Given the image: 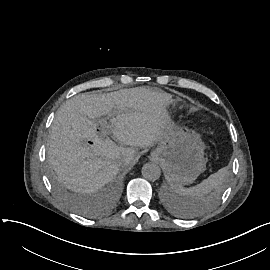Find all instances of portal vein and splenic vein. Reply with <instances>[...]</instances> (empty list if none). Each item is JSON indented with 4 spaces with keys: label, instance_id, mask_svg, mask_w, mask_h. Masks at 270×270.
<instances>
[{
    "label": "portal vein and splenic vein",
    "instance_id": "1",
    "mask_svg": "<svg viewBox=\"0 0 270 270\" xmlns=\"http://www.w3.org/2000/svg\"><path fill=\"white\" fill-rule=\"evenodd\" d=\"M98 122H99L101 128L103 129L101 131V133H100L99 140L100 141H104L105 140V137L107 136V134L113 133V129H111V126H110V128H108V131L104 129L106 127V125H107L106 124L107 121L105 119H100Z\"/></svg>",
    "mask_w": 270,
    "mask_h": 270
}]
</instances>
